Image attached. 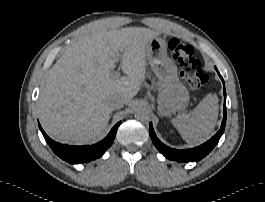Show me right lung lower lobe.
<instances>
[{
  "instance_id": "right-lung-lower-lobe-1",
  "label": "right lung lower lobe",
  "mask_w": 265,
  "mask_h": 202,
  "mask_svg": "<svg viewBox=\"0 0 265 202\" xmlns=\"http://www.w3.org/2000/svg\"><path fill=\"white\" fill-rule=\"evenodd\" d=\"M121 122H118L104 140L94 145L86 146H69L64 144H59L50 139L44 130L39 125V128L51 149L63 160L72 163H83L94 160L102 156L105 151L111 146L114 141L118 126Z\"/></svg>"
}]
</instances>
